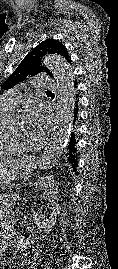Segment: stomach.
Returning a JSON list of instances; mask_svg holds the SVG:
<instances>
[{
  "label": "stomach",
  "instance_id": "1",
  "mask_svg": "<svg viewBox=\"0 0 118 269\" xmlns=\"http://www.w3.org/2000/svg\"><path fill=\"white\" fill-rule=\"evenodd\" d=\"M36 168L37 163L32 157H26L0 167V188L4 184L30 175Z\"/></svg>",
  "mask_w": 118,
  "mask_h": 269
}]
</instances>
